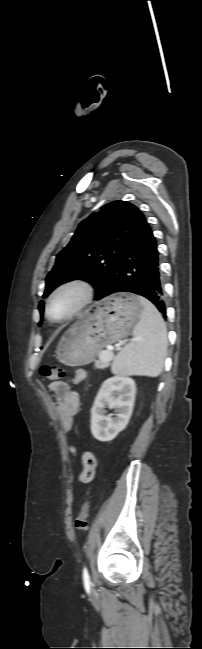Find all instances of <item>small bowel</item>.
Returning a JSON list of instances; mask_svg holds the SVG:
<instances>
[{
    "mask_svg": "<svg viewBox=\"0 0 202 649\" xmlns=\"http://www.w3.org/2000/svg\"><path fill=\"white\" fill-rule=\"evenodd\" d=\"M84 379V371L79 370L74 374L72 383L78 386ZM50 390L54 394V408L62 423V427L66 432H70L73 427L74 417L80 405L79 394L75 389H72L67 383L62 381L51 383ZM69 453L73 458L77 457V449L75 447H70ZM82 464L83 470L79 475V482L90 483L95 477L97 466L94 455L90 452L84 453L82 455Z\"/></svg>",
    "mask_w": 202,
    "mask_h": 649,
    "instance_id": "1",
    "label": "small bowel"
}]
</instances>
